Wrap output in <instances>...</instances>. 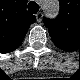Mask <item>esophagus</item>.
Instances as JSON below:
<instances>
[{"mask_svg":"<svg viewBox=\"0 0 80 80\" xmlns=\"http://www.w3.org/2000/svg\"><path fill=\"white\" fill-rule=\"evenodd\" d=\"M42 17H43V14L41 12H38L36 14V19H37L38 22H40L42 20Z\"/></svg>","mask_w":80,"mask_h":80,"instance_id":"1","label":"esophagus"}]
</instances>
